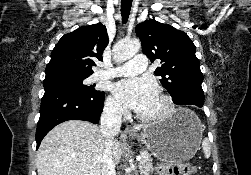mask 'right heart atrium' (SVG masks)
I'll use <instances>...</instances> for the list:
<instances>
[{
    "mask_svg": "<svg viewBox=\"0 0 251 175\" xmlns=\"http://www.w3.org/2000/svg\"><path fill=\"white\" fill-rule=\"evenodd\" d=\"M105 113L113 119H123L127 116L126 109L114 97L109 96L105 102Z\"/></svg>",
    "mask_w": 251,
    "mask_h": 175,
    "instance_id": "1",
    "label": "right heart atrium"
}]
</instances>
